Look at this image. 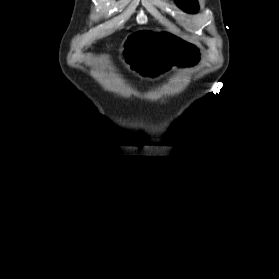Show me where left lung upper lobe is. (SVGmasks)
<instances>
[{"label":"left lung upper lobe","instance_id":"left-lung-upper-lobe-1","mask_svg":"<svg viewBox=\"0 0 279 279\" xmlns=\"http://www.w3.org/2000/svg\"><path fill=\"white\" fill-rule=\"evenodd\" d=\"M176 2L181 9L189 13H196L199 10L197 0H177Z\"/></svg>","mask_w":279,"mask_h":279}]
</instances>
